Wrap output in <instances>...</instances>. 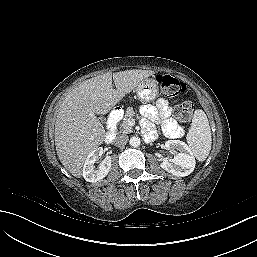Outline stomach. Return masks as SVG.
<instances>
[{
	"instance_id": "0dacf381",
	"label": "stomach",
	"mask_w": 257,
	"mask_h": 257,
	"mask_svg": "<svg viewBox=\"0 0 257 257\" xmlns=\"http://www.w3.org/2000/svg\"><path fill=\"white\" fill-rule=\"evenodd\" d=\"M137 97L144 102H151L159 94V86L154 78L142 80L135 88Z\"/></svg>"
}]
</instances>
